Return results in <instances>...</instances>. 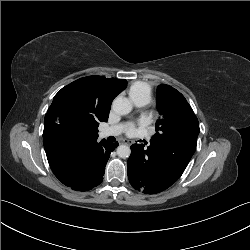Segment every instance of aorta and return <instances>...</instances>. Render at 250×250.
I'll return each instance as SVG.
<instances>
[{
    "label": "aorta",
    "mask_w": 250,
    "mask_h": 250,
    "mask_svg": "<svg viewBox=\"0 0 250 250\" xmlns=\"http://www.w3.org/2000/svg\"><path fill=\"white\" fill-rule=\"evenodd\" d=\"M112 108L115 113L119 115H126L131 112L132 104L125 98H116L112 103ZM131 150L126 145H119L117 147V155L120 158H128Z\"/></svg>",
    "instance_id": "obj_1"
}]
</instances>
